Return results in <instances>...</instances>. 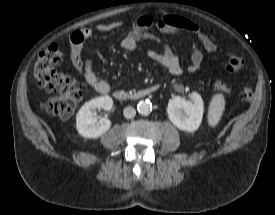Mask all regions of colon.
<instances>
[{"mask_svg":"<svg viewBox=\"0 0 275 215\" xmlns=\"http://www.w3.org/2000/svg\"><path fill=\"white\" fill-rule=\"evenodd\" d=\"M62 61L63 53L57 46H51L38 55L33 66V75L42 88L55 94L47 102L49 112L65 120L70 118L77 108L82 98V89L78 81L56 69ZM245 64V59L230 54L225 63V69L234 73L242 70ZM214 84L219 88L225 87L221 80L215 81ZM253 95V89L248 86L240 91V97L245 101L251 100Z\"/></svg>","mask_w":275,"mask_h":215,"instance_id":"1","label":"colon"}]
</instances>
